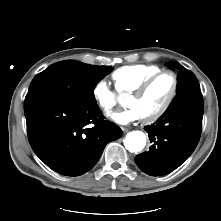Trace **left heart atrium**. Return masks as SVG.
Instances as JSON below:
<instances>
[{
    "label": "left heart atrium",
    "mask_w": 221,
    "mask_h": 221,
    "mask_svg": "<svg viewBox=\"0 0 221 221\" xmlns=\"http://www.w3.org/2000/svg\"><path fill=\"white\" fill-rule=\"evenodd\" d=\"M139 119L141 116L135 108L117 111L112 115V120L120 125H128Z\"/></svg>",
    "instance_id": "left-heart-atrium-1"
}]
</instances>
